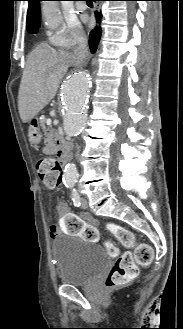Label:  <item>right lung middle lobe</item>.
<instances>
[{"label": "right lung middle lobe", "instance_id": "obj_1", "mask_svg": "<svg viewBox=\"0 0 183 329\" xmlns=\"http://www.w3.org/2000/svg\"><path fill=\"white\" fill-rule=\"evenodd\" d=\"M39 26H40V25H37L33 30H31L30 33H32V34H36V33L38 32Z\"/></svg>", "mask_w": 183, "mask_h": 329}]
</instances>
